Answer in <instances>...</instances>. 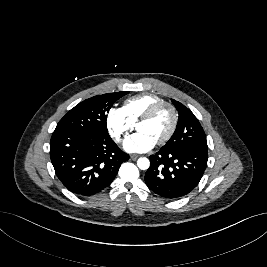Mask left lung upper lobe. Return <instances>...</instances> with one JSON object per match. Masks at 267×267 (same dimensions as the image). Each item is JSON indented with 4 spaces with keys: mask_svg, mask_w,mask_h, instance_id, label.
Listing matches in <instances>:
<instances>
[{
    "mask_svg": "<svg viewBox=\"0 0 267 267\" xmlns=\"http://www.w3.org/2000/svg\"><path fill=\"white\" fill-rule=\"evenodd\" d=\"M172 103L179 114L178 124L172 137L161 149L171 150L184 147L207 149L205 132L195 115L180 102L172 99Z\"/></svg>",
    "mask_w": 267,
    "mask_h": 267,
    "instance_id": "obj_1",
    "label": "left lung upper lobe"
}]
</instances>
